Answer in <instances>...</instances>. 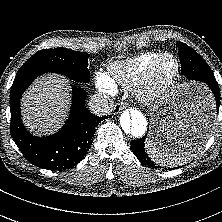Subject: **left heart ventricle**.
Listing matches in <instances>:
<instances>
[{
  "label": "left heart ventricle",
  "instance_id": "b2bd125f",
  "mask_svg": "<svg viewBox=\"0 0 222 222\" xmlns=\"http://www.w3.org/2000/svg\"><path fill=\"white\" fill-rule=\"evenodd\" d=\"M175 69V62L171 58H166L161 61L156 69V78L161 81L169 78Z\"/></svg>",
  "mask_w": 222,
  "mask_h": 222
}]
</instances>
